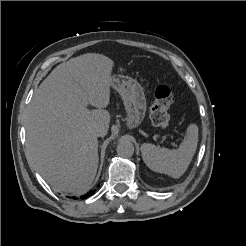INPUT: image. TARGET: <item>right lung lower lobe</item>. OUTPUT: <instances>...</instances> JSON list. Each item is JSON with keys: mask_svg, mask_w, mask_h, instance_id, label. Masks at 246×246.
I'll return each mask as SVG.
<instances>
[{"mask_svg": "<svg viewBox=\"0 0 246 246\" xmlns=\"http://www.w3.org/2000/svg\"><path fill=\"white\" fill-rule=\"evenodd\" d=\"M98 187H99V185H98ZM94 193H95V190H92V191H90L89 193H87V194H85V195H82L80 198H81V199H86L87 197L93 195ZM67 197L70 198L69 196H67ZM73 198L75 199V197H73Z\"/></svg>", "mask_w": 246, "mask_h": 246, "instance_id": "1", "label": "right lung lower lobe"}]
</instances>
